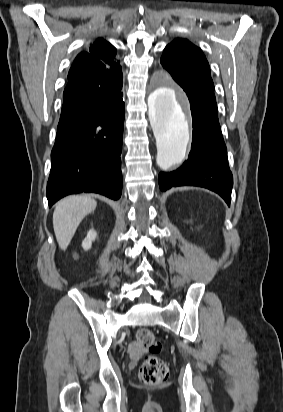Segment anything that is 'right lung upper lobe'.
<instances>
[{"label":"right lung upper lobe","mask_w":283,"mask_h":412,"mask_svg":"<svg viewBox=\"0 0 283 412\" xmlns=\"http://www.w3.org/2000/svg\"><path fill=\"white\" fill-rule=\"evenodd\" d=\"M115 55V47L100 38L91 44L87 52L80 53L69 71L63 100L92 85L123 82L122 69Z\"/></svg>","instance_id":"obj_1"}]
</instances>
